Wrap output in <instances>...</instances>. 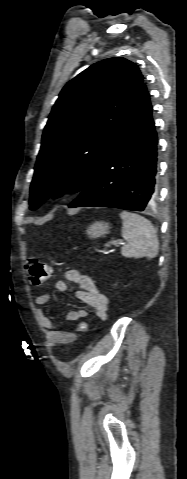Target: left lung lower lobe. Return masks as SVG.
<instances>
[{
  "label": "left lung lower lobe",
  "mask_w": 187,
  "mask_h": 479,
  "mask_svg": "<svg viewBox=\"0 0 187 479\" xmlns=\"http://www.w3.org/2000/svg\"><path fill=\"white\" fill-rule=\"evenodd\" d=\"M157 142L143 82L118 139L69 207L143 211L156 196Z\"/></svg>",
  "instance_id": "left-lung-lower-lobe-1"
}]
</instances>
